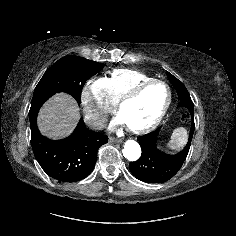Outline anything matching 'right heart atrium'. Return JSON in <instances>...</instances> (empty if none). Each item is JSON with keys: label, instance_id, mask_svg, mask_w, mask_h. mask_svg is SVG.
Returning <instances> with one entry per match:
<instances>
[{"label": "right heart atrium", "instance_id": "obj_1", "mask_svg": "<svg viewBox=\"0 0 236 236\" xmlns=\"http://www.w3.org/2000/svg\"><path fill=\"white\" fill-rule=\"evenodd\" d=\"M81 104L88 125L92 128L102 126L107 115L114 109L103 78L87 81L81 92Z\"/></svg>", "mask_w": 236, "mask_h": 236}]
</instances>
